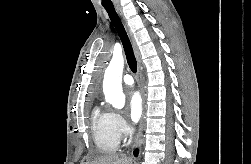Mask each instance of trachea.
Masks as SVG:
<instances>
[{"label":"trachea","mask_w":251,"mask_h":164,"mask_svg":"<svg viewBox=\"0 0 251 164\" xmlns=\"http://www.w3.org/2000/svg\"><path fill=\"white\" fill-rule=\"evenodd\" d=\"M103 7L106 9L121 41L124 47L125 55L127 58V63L133 73H136L137 71V62L133 53L132 45L129 40V37L126 33V30L118 16V14L115 11V8L113 6V3L111 1H108L106 3H103Z\"/></svg>","instance_id":"trachea-1"}]
</instances>
